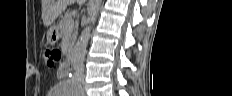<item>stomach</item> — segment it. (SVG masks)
<instances>
[{
    "mask_svg": "<svg viewBox=\"0 0 232 96\" xmlns=\"http://www.w3.org/2000/svg\"><path fill=\"white\" fill-rule=\"evenodd\" d=\"M60 31L58 26H53L47 33V42L54 45L60 39Z\"/></svg>",
    "mask_w": 232,
    "mask_h": 96,
    "instance_id": "0dacf381",
    "label": "stomach"
}]
</instances>
